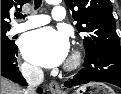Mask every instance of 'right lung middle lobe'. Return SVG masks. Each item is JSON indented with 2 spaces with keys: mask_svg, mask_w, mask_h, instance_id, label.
I'll list each match as a JSON object with an SVG mask.
<instances>
[{
  "mask_svg": "<svg viewBox=\"0 0 121 94\" xmlns=\"http://www.w3.org/2000/svg\"><path fill=\"white\" fill-rule=\"evenodd\" d=\"M8 31L9 29L1 30V46L3 47H9L14 45V41H11L6 35Z\"/></svg>",
  "mask_w": 121,
  "mask_h": 94,
  "instance_id": "1",
  "label": "right lung middle lobe"
}]
</instances>
